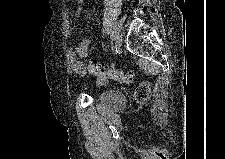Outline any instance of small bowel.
Listing matches in <instances>:
<instances>
[{"mask_svg": "<svg viewBox=\"0 0 225 159\" xmlns=\"http://www.w3.org/2000/svg\"><path fill=\"white\" fill-rule=\"evenodd\" d=\"M89 47L90 41L83 40L69 53L70 67L74 73L80 75L86 74V68L79 58H86L88 56Z\"/></svg>", "mask_w": 225, "mask_h": 159, "instance_id": "1", "label": "small bowel"}]
</instances>
